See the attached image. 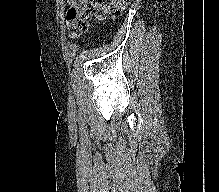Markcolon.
<instances>
[{
  "instance_id": "5ec220e1",
  "label": "colon",
  "mask_w": 219,
  "mask_h": 192,
  "mask_svg": "<svg viewBox=\"0 0 219 192\" xmlns=\"http://www.w3.org/2000/svg\"><path fill=\"white\" fill-rule=\"evenodd\" d=\"M130 0H72L66 22L69 33L77 37L88 31L92 19L118 15Z\"/></svg>"
}]
</instances>
